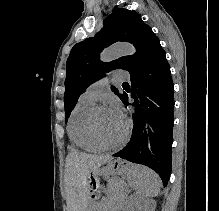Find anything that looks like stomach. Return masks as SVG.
I'll use <instances>...</instances> for the list:
<instances>
[{
	"instance_id": "0dacf381",
	"label": "stomach",
	"mask_w": 219,
	"mask_h": 211,
	"mask_svg": "<svg viewBox=\"0 0 219 211\" xmlns=\"http://www.w3.org/2000/svg\"><path fill=\"white\" fill-rule=\"evenodd\" d=\"M133 165L121 159H112L105 166L89 170L87 183L90 193V204L86 211H93V204L98 197L100 176L109 178L110 176H119L130 173Z\"/></svg>"
}]
</instances>
